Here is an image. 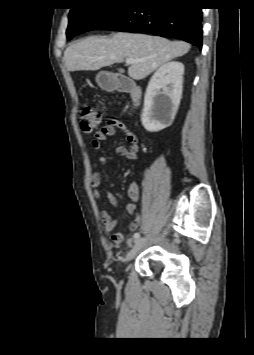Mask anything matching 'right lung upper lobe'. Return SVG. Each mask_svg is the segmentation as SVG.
<instances>
[{"mask_svg": "<svg viewBox=\"0 0 254 355\" xmlns=\"http://www.w3.org/2000/svg\"><path fill=\"white\" fill-rule=\"evenodd\" d=\"M119 1L130 2V1H133V0H119Z\"/></svg>", "mask_w": 254, "mask_h": 355, "instance_id": "1", "label": "right lung upper lobe"}]
</instances>
